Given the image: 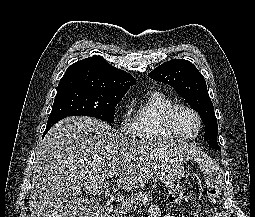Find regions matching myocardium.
<instances>
[{
	"mask_svg": "<svg viewBox=\"0 0 255 217\" xmlns=\"http://www.w3.org/2000/svg\"><path fill=\"white\" fill-rule=\"evenodd\" d=\"M180 109H186V110L190 111L196 117L197 129L193 134L186 135V134L181 133L177 129L174 119H175V115H176L177 111ZM164 123H165L167 130L174 137L179 138V139H184V140L196 138L199 135L201 128H202V118H201L200 113L191 105L184 104V103L173 104L170 108H168L164 114Z\"/></svg>",
	"mask_w": 255,
	"mask_h": 217,
	"instance_id": "1",
	"label": "myocardium"
}]
</instances>
